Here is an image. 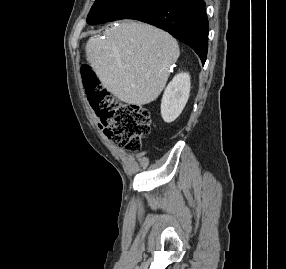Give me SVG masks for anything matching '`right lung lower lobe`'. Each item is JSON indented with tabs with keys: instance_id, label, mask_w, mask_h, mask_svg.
Returning <instances> with one entry per match:
<instances>
[{
	"instance_id": "1",
	"label": "right lung lower lobe",
	"mask_w": 286,
	"mask_h": 269,
	"mask_svg": "<svg viewBox=\"0 0 286 269\" xmlns=\"http://www.w3.org/2000/svg\"><path fill=\"white\" fill-rule=\"evenodd\" d=\"M127 19L157 26L190 46L205 63L208 19L204 0H154Z\"/></svg>"
}]
</instances>
